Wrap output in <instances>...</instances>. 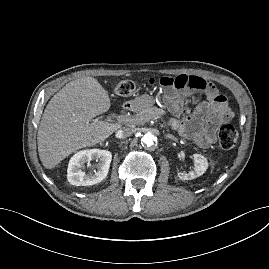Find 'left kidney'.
Instances as JSON below:
<instances>
[{
	"mask_svg": "<svg viewBox=\"0 0 269 269\" xmlns=\"http://www.w3.org/2000/svg\"><path fill=\"white\" fill-rule=\"evenodd\" d=\"M195 164V171L187 173L178 172V177L181 180H192L205 173L208 168L207 159L201 154H194L192 156Z\"/></svg>",
	"mask_w": 269,
	"mask_h": 269,
	"instance_id": "obj_1",
	"label": "left kidney"
}]
</instances>
